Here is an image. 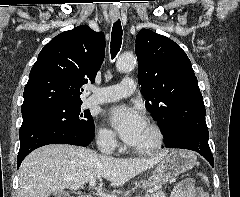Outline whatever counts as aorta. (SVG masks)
I'll return each instance as SVG.
<instances>
[{
	"label": "aorta",
	"instance_id": "aorta-1",
	"mask_svg": "<svg viewBox=\"0 0 240 197\" xmlns=\"http://www.w3.org/2000/svg\"><path fill=\"white\" fill-rule=\"evenodd\" d=\"M135 66V57L132 54H123L116 61V68L120 72H128Z\"/></svg>",
	"mask_w": 240,
	"mask_h": 197
}]
</instances>
